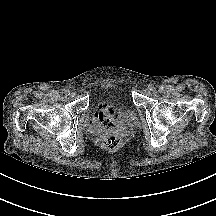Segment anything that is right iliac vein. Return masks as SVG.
Segmentation results:
<instances>
[{"label": "right iliac vein", "mask_w": 216, "mask_h": 216, "mask_svg": "<svg viewBox=\"0 0 216 216\" xmlns=\"http://www.w3.org/2000/svg\"><path fill=\"white\" fill-rule=\"evenodd\" d=\"M76 93L75 92H71L70 96L71 97H75Z\"/></svg>", "instance_id": "right-iliac-vein-1"}]
</instances>
